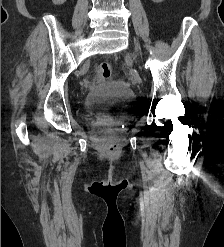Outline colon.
I'll return each instance as SVG.
<instances>
[{"instance_id": "colon-1", "label": "colon", "mask_w": 224, "mask_h": 247, "mask_svg": "<svg viewBox=\"0 0 224 247\" xmlns=\"http://www.w3.org/2000/svg\"><path fill=\"white\" fill-rule=\"evenodd\" d=\"M111 73V65L107 62H103L98 66L94 79L96 82L105 81L110 78Z\"/></svg>"}]
</instances>
